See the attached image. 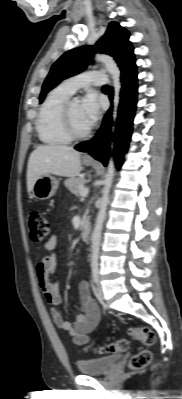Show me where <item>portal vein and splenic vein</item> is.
<instances>
[{
  "label": "portal vein and splenic vein",
  "mask_w": 182,
  "mask_h": 399,
  "mask_svg": "<svg viewBox=\"0 0 182 399\" xmlns=\"http://www.w3.org/2000/svg\"><path fill=\"white\" fill-rule=\"evenodd\" d=\"M89 193V188L88 187H84L82 188L81 192H80V196L81 197H86Z\"/></svg>",
  "instance_id": "portal-vein-and-splenic-vein-1"
}]
</instances>
